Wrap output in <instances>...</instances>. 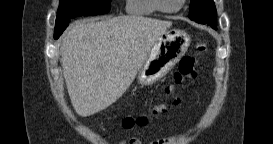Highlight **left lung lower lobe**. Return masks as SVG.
Masks as SVG:
<instances>
[{"label": "left lung lower lobe", "mask_w": 273, "mask_h": 144, "mask_svg": "<svg viewBox=\"0 0 273 144\" xmlns=\"http://www.w3.org/2000/svg\"><path fill=\"white\" fill-rule=\"evenodd\" d=\"M215 15H216V11H211V12L209 11L207 13L202 14L201 16H199L197 19L193 21L197 23H201V24H207L215 28Z\"/></svg>", "instance_id": "0a47b994"}]
</instances>
